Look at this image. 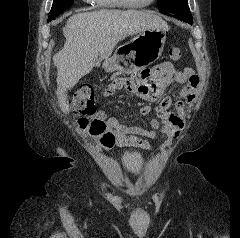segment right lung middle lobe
Returning <instances> with one entry per match:
<instances>
[{"label": "right lung middle lobe", "mask_w": 240, "mask_h": 238, "mask_svg": "<svg viewBox=\"0 0 240 238\" xmlns=\"http://www.w3.org/2000/svg\"><path fill=\"white\" fill-rule=\"evenodd\" d=\"M74 0H53L51 11L48 15V22L55 19L63 11L71 6Z\"/></svg>", "instance_id": "obj_1"}]
</instances>
